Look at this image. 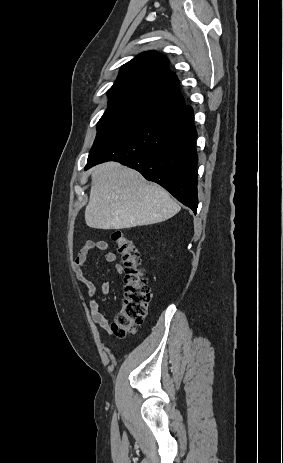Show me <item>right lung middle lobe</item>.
<instances>
[{"instance_id":"dd1d6c3e","label":"right lung middle lobe","mask_w":283,"mask_h":463,"mask_svg":"<svg viewBox=\"0 0 283 463\" xmlns=\"http://www.w3.org/2000/svg\"><path fill=\"white\" fill-rule=\"evenodd\" d=\"M109 105L97 126V136L89 153L92 156L122 135L162 114L158 109L129 100L124 96L110 95Z\"/></svg>"}]
</instances>
